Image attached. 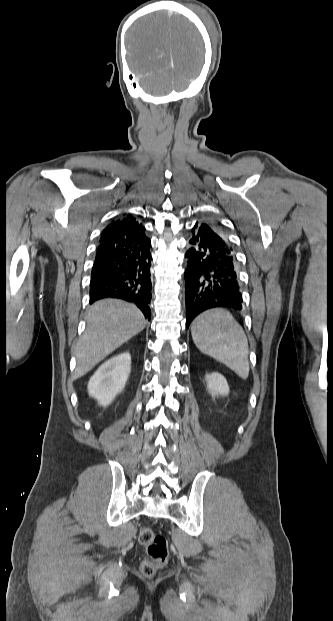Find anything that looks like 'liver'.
<instances>
[{
    "label": "liver",
    "instance_id": "liver-1",
    "mask_svg": "<svg viewBox=\"0 0 333 621\" xmlns=\"http://www.w3.org/2000/svg\"><path fill=\"white\" fill-rule=\"evenodd\" d=\"M146 325L142 312L134 305L113 299L95 302L87 314V328L75 348V378L140 333Z\"/></svg>",
    "mask_w": 333,
    "mask_h": 621
}]
</instances>
